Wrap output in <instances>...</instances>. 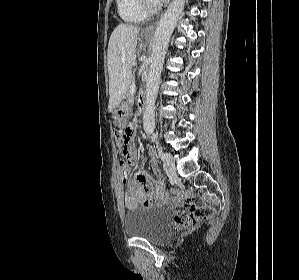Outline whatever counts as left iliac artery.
Masks as SVG:
<instances>
[{
	"instance_id": "44dca946",
	"label": "left iliac artery",
	"mask_w": 299,
	"mask_h": 280,
	"mask_svg": "<svg viewBox=\"0 0 299 280\" xmlns=\"http://www.w3.org/2000/svg\"><path fill=\"white\" fill-rule=\"evenodd\" d=\"M159 156H160V158H161L163 161H165V160L169 159L170 154H168V153H163L162 151H159Z\"/></svg>"
}]
</instances>
